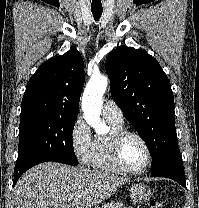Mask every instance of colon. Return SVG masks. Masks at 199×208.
<instances>
[{
    "label": "colon",
    "instance_id": "1",
    "mask_svg": "<svg viewBox=\"0 0 199 208\" xmlns=\"http://www.w3.org/2000/svg\"><path fill=\"white\" fill-rule=\"evenodd\" d=\"M149 208H165V207L160 201L156 199H151L149 201Z\"/></svg>",
    "mask_w": 199,
    "mask_h": 208
}]
</instances>
